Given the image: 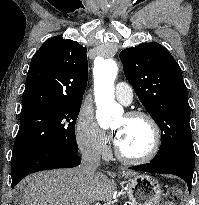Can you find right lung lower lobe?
<instances>
[{
	"instance_id": "right-lung-lower-lobe-1",
	"label": "right lung lower lobe",
	"mask_w": 199,
	"mask_h": 205,
	"mask_svg": "<svg viewBox=\"0 0 199 205\" xmlns=\"http://www.w3.org/2000/svg\"><path fill=\"white\" fill-rule=\"evenodd\" d=\"M81 157L62 148H47L12 162V188L25 176L41 170L76 167Z\"/></svg>"
}]
</instances>
